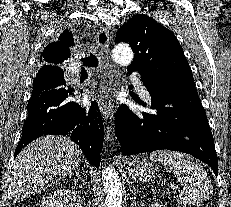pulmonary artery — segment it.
Returning <instances> with one entry per match:
<instances>
[{
    "label": "pulmonary artery",
    "mask_w": 231,
    "mask_h": 207,
    "mask_svg": "<svg viewBox=\"0 0 231 207\" xmlns=\"http://www.w3.org/2000/svg\"><path fill=\"white\" fill-rule=\"evenodd\" d=\"M133 82H134V84H135V86H136V89H137L139 92H141V93H143V94H146L144 84L142 83V81H141L139 78L134 77V78H133Z\"/></svg>",
    "instance_id": "obj_1"
}]
</instances>
